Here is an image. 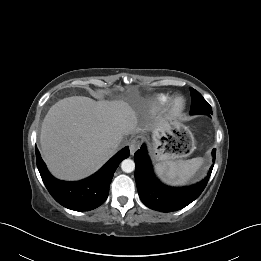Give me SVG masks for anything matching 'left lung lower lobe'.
<instances>
[{"label": "left lung lower lobe", "mask_w": 261, "mask_h": 261, "mask_svg": "<svg viewBox=\"0 0 261 261\" xmlns=\"http://www.w3.org/2000/svg\"><path fill=\"white\" fill-rule=\"evenodd\" d=\"M216 149H213V162ZM135 180L141 201L149 208L161 212L180 210L200 196L211 175V166L208 176L201 182L189 187H169L162 184L154 176L152 165L148 157L146 146L135 152Z\"/></svg>", "instance_id": "1"}]
</instances>
